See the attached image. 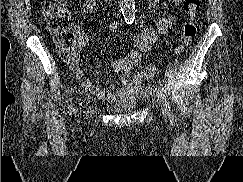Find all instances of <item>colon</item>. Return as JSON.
<instances>
[{
	"instance_id": "colon-1",
	"label": "colon",
	"mask_w": 243,
	"mask_h": 182,
	"mask_svg": "<svg viewBox=\"0 0 243 182\" xmlns=\"http://www.w3.org/2000/svg\"><path fill=\"white\" fill-rule=\"evenodd\" d=\"M200 9V0H184L183 10L186 21L183 25L182 34L176 47L177 53L185 51L197 34L196 15ZM47 28L53 34L56 49L62 58L71 60L75 57L78 40L76 33L70 26V13L66 6V0H50L42 9ZM157 68L147 66L140 70L139 77L149 80L155 76Z\"/></svg>"
}]
</instances>
